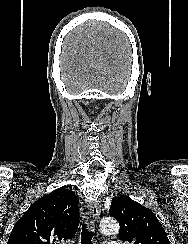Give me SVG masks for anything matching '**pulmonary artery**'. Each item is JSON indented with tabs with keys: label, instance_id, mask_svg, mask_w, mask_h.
<instances>
[{
	"label": "pulmonary artery",
	"instance_id": "pulmonary-artery-1",
	"mask_svg": "<svg viewBox=\"0 0 188 244\" xmlns=\"http://www.w3.org/2000/svg\"><path fill=\"white\" fill-rule=\"evenodd\" d=\"M107 244H120L119 242H109Z\"/></svg>",
	"mask_w": 188,
	"mask_h": 244
}]
</instances>
